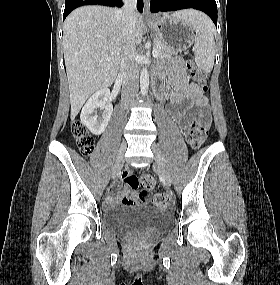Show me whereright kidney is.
Segmentation results:
<instances>
[{"label":"right kidney","instance_id":"1","mask_svg":"<svg viewBox=\"0 0 280 285\" xmlns=\"http://www.w3.org/2000/svg\"><path fill=\"white\" fill-rule=\"evenodd\" d=\"M104 109L101 117L95 113L97 109ZM113 105L110 99V91L107 88L94 93L86 102L81 111V122L94 135L102 134L111 118Z\"/></svg>","mask_w":280,"mask_h":285}]
</instances>
